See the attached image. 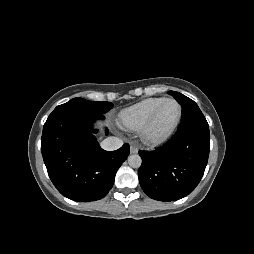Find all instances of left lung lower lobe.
<instances>
[{"label": "left lung lower lobe", "mask_w": 254, "mask_h": 254, "mask_svg": "<svg viewBox=\"0 0 254 254\" xmlns=\"http://www.w3.org/2000/svg\"><path fill=\"white\" fill-rule=\"evenodd\" d=\"M208 124L178 128L174 136L154 151H139L138 177L152 199L175 201L190 194L200 182L209 156Z\"/></svg>", "instance_id": "1"}]
</instances>
